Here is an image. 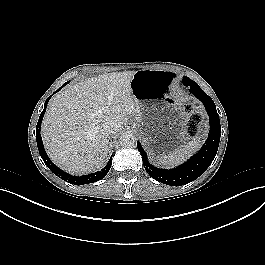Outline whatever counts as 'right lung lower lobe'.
<instances>
[{"label":"right lung lower lobe","mask_w":265,"mask_h":265,"mask_svg":"<svg viewBox=\"0 0 265 265\" xmlns=\"http://www.w3.org/2000/svg\"><path fill=\"white\" fill-rule=\"evenodd\" d=\"M66 84H67V82L64 83L63 86H65ZM62 87H60L58 90H60ZM51 96H49L47 98V100L45 101L44 109H43V111L39 117V120H38V123L36 126L37 146H38L39 153H40L41 157L43 158L44 163L47 165V167L55 175L60 177L62 180L69 182L70 184L83 185V184L93 183V182L99 181L100 179L104 178L106 176V174L108 173V171L110 170V167L112 164V157L109 160V162L107 163L106 167L103 170H101L100 172H95V173H91V174L84 175V176H73V175H70V174L64 172L60 168H58L55 164H53L51 162V160L47 156L45 149H44V146H43V143H42V138H41V134H40V125H41L44 113L46 111L48 101L51 98Z\"/></svg>","instance_id":"obj_1"}]
</instances>
